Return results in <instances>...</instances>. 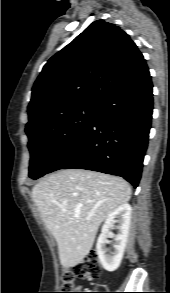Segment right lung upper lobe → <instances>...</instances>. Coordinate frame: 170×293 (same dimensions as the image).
Returning <instances> with one entry per match:
<instances>
[{
    "instance_id": "right-lung-upper-lobe-1",
    "label": "right lung upper lobe",
    "mask_w": 170,
    "mask_h": 293,
    "mask_svg": "<svg viewBox=\"0 0 170 293\" xmlns=\"http://www.w3.org/2000/svg\"><path fill=\"white\" fill-rule=\"evenodd\" d=\"M146 72L145 59L129 35L97 20L43 67L32 89L26 129L78 105H99Z\"/></svg>"
}]
</instances>
